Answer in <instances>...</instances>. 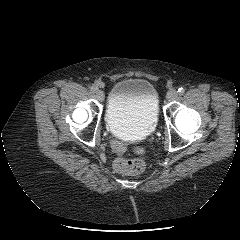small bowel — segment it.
<instances>
[{
  "label": "small bowel",
  "instance_id": "c3829d8e",
  "mask_svg": "<svg viewBox=\"0 0 240 240\" xmlns=\"http://www.w3.org/2000/svg\"><path fill=\"white\" fill-rule=\"evenodd\" d=\"M106 149L109 152H115L117 155H126L129 152V147L126 144H120L117 140L109 141L106 144Z\"/></svg>",
  "mask_w": 240,
  "mask_h": 240
}]
</instances>
